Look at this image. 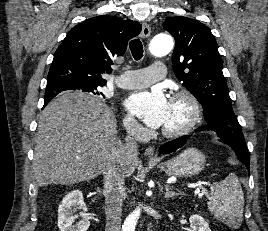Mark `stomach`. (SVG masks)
<instances>
[{"instance_id": "stomach-1", "label": "stomach", "mask_w": 268, "mask_h": 231, "mask_svg": "<svg viewBox=\"0 0 268 231\" xmlns=\"http://www.w3.org/2000/svg\"><path fill=\"white\" fill-rule=\"evenodd\" d=\"M205 155L196 148H187L179 156L158 165L168 176L192 177L198 175L205 166Z\"/></svg>"}]
</instances>
